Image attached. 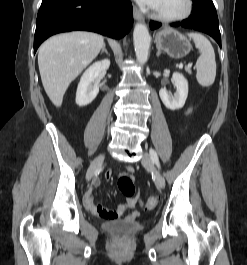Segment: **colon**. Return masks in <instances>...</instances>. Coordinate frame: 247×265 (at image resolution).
Returning a JSON list of instances; mask_svg holds the SVG:
<instances>
[{"label": "colon", "mask_w": 247, "mask_h": 265, "mask_svg": "<svg viewBox=\"0 0 247 265\" xmlns=\"http://www.w3.org/2000/svg\"><path fill=\"white\" fill-rule=\"evenodd\" d=\"M118 188L128 198H134L136 195V185L129 176H121L118 180ZM158 204V199L155 196H150L145 204L147 210L154 209Z\"/></svg>", "instance_id": "colon-1"}]
</instances>
